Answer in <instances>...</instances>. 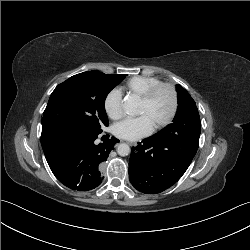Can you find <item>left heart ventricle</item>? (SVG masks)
<instances>
[{
  "mask_svg": "<svg viewBox=\"0 0 250 250\" xmlns=\"http://www.w3.org/2000/svg\"><path fill=\"white\" fill-rule=\"evenodd\" d=\"M171 109V96L165 89L159 91L149 103L139 102L138 114L146 115L153 126L165 119Z\"/></svg>",
  "mask_w": 250,
  "mask_h": 250,
  "instance_id": "obj_1",
  "label": "left heart ventricle"
}]
</instances>
